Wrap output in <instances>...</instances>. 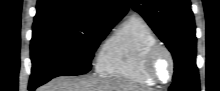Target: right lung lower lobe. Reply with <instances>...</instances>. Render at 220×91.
Returning <instances> with one entry per match:
<instances>
[{
	"label": "right lung lower lobe",
	"mask_w": 220,
	"mask_h": 91,
	"mask_svg": "<svg viewBox=\"0 0 220 91\" xmlns=\"http://www.w3.org/2000/svg\"><path fill=\"white\" fill-rule=\"evenodd\" d=\"M40 85H41L40 83H30L29 90L33 91V90H35V88H37Z\"/></svg>",
	"instance_id": "right-lung-lower-lobe-1"
}]
</instances>
